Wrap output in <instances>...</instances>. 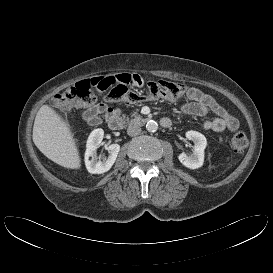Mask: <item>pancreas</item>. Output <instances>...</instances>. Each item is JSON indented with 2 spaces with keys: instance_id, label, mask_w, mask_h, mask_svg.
<instances>
[{
  "instance_id": "pancreas-1",
  "label": "pancreas",
  "mask_w": 273,
  "mask_h": 273,
  "mask_svg": "<svg viewBox=\"0 0 273 273\" xmlns=\"http://www.w3.org/2000/svg\"><path fill=\"white\" fill-rule=\"evenodd\" d=\"M133 116L137 117L138 115L135 113V114H133Z\"/></svg>"
}]
</instances>
